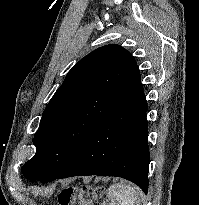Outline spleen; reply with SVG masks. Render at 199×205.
I'll return each instance as SVG.
<instances>
[{
  "instance_id": "obj_1",
  "label": "spleen",
  "mask_w": 199,
  "mask_h": 205,
  "mask_svg": "<svg viewBox=\"0 0 199 205\" xmlns=\"http://www.w3.org/2000/svg\"><path fill=\"white\" fill-rule=\"evenodd\" d=\"M111 205H140L138 191L130 184H113L108 189Z\"/></svg>"
}]
</instances>
